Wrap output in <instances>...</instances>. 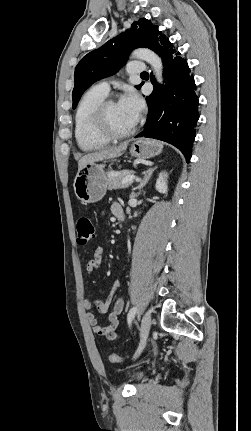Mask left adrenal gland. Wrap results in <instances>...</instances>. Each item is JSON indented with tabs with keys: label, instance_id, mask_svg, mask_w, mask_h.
I'll list each match as a JSON object with an SVG mask.
<instances>
[{
	"label": "left adrenal gland",
	"instance_id": "a2214340",
	"mask_svg": "<svg viewBox=\"0 0 251 431\" xmlns=\"http://www.w3.org/2000/svg\"><path fill=\"white\" fill-rule=\"evenodd\" d=\"M157 167L149 168L147 171L144 172V177L136 187L138 190H141L149 181L152 173L156 170Z\"/></svg>",
	"mask_w": 251,
	"mask_h": 431
}]
</instances>
